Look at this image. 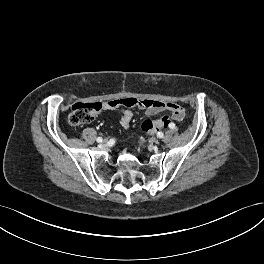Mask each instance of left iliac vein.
Instances as JSON below:
<instances>
[{"label":"left iliac vein","instance_id":"1","mask_svg":"<svg viewBox=\"0 0 264 264\" xmlns=\"http://www.w3.org/2000/svg\"><path fill=\"white\" fill-rule=\"evenodd\" d=\"M160 143H161V140L160 139H157V140L154 141V144L155 145H159Z\"/></svg>","mask_w":264,"mask_h":264}]
</instances>
